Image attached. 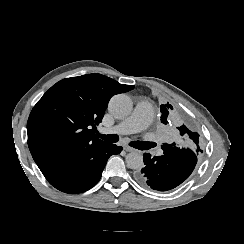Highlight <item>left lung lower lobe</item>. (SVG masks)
<instances>
[{
	"mask_svg": "<svg viewBox=\"0 0 244 244\" xmlns=\"http://www.w3.org/2000/svg\"><path fill=\"white\" fill-rule=\"evenodd\" d=\"M163 155L151 157L144 153L145 167L135 174L136 181L143 187L167 191L180 185L195 168L199 152L178 146H161ZM202 152V150H201Z\"/></svg>",
	"mask_w": 244,
	"mask_h": 244,
	"instance_id": "1",
	"label": "left lung lower lobe"
}]
</instances>
